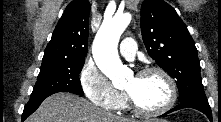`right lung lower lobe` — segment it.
<instances>
[{
  "mask_svg": "<svg viewBox=\"0 0 221 122\" xmlns=\"http://www.w3.org/2000/svg\"><path fill=\"white\" fill-rule=\"evenodd\" d=\"M50 95L52 94H48V95L36 97V98H30L29 102L26 104L24 108V111L22 114V121H24L30 114H32L39 107V105L43 102V100Z\"/></svg>",
  "mask_w": 221,
  "mask_h": 122,
  "instance_id": "98d812e1",
  "label": "right lung lower lobe"
}]
</instances>
